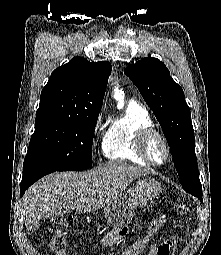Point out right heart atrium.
I'll return each instance as SVG.
<instances>
[{
  "label": "right heart atrium",
  "instance_id": "obj_1",
  "mask_svg": "<svg viewBox=\"0 0 221 255\" xmlns=\"http://www.w3.org/2000/svg\"><path fill=\"white\" fill-rule=\"evenodd\" d=\"M101 121H102V117H101V116H99V117L97 118V120H96V124H95V126H96V128H97V129L100 127V125H101Z\"/></svg>",
  "mask_w": 221,
  "mask_h": 255
}]
</instances>
